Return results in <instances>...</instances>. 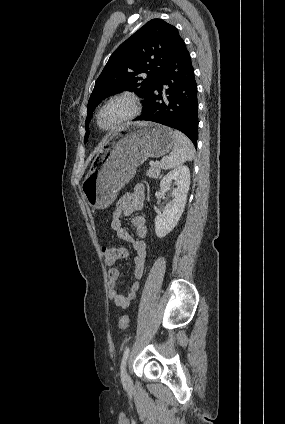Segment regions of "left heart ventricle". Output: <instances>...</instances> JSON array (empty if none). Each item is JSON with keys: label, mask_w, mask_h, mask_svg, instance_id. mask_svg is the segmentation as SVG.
Masks as SVG:
<instances>
[{"label": "left heart ventricle", "mask_w": 285, "mask_h": 424, "mask_svg": "<svg viewBox=\"0 0 285 424\" xmlns=\"http://www.w3.org/2000/svg\"><path fill=\"white\" fill-rule=\"evenodd\" d=\"M128 110L129 108L127 104L122 102L114 103L105 109V111L102 113L100 117V123L104 126L112 124L124 116Z\"/></svg>", "instance_id": "obj_1"}]
</instances>
